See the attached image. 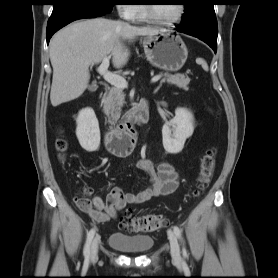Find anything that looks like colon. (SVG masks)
Returning <instances> with one entry per match:
<instances>
[{
	"label": "colon",
	"instance_id": "colon-1",
	"mask_svg": "<svg viewBox=\"0 0 278 278\" xmlns=\"http://www.w3.org/2000/svg\"><path fill=\"white\" fill-rule=\"evenodd\" d=\"M56 148L61 157L64 156L67 150V142L64 138H59L56 141ZM215 167V150L208 149L203 154L200 163V171L198 177V186L194 191L195 196H199L204 188L208 185ZM81 199H87L90 194L89 189L82 188L80 190ZM166 221L160 215H132L130 212L125 213V217L121 219L119 226L123 229H131L135 232H152L164 227Z\"/></svg>",
	"mask_w": 278,
	"mask_h": 278
}]
</instances>
